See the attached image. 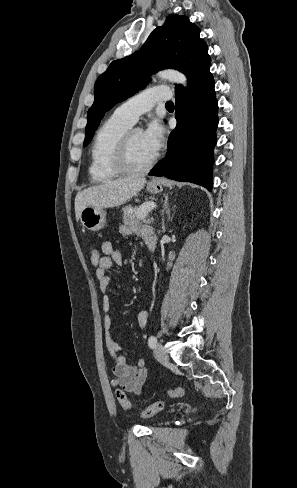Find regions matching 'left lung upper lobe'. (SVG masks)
Returning <instances> with one entry per match:
<instances>
[{
    "instance_id": "1",
    "label": "left lung upper lobe",
    "mask_w": 297,
    "mask_h": 488,
    "mask_svg": "<svg viewBox=\"0 0 297 488\" xmlns=\"http://www.w3.org/2000/svg\"><path fill=\"white\" fill-rule=\"evenodd\" d=\"M199 33V28L188 17L171 15L163 26L150 34L140 50L113 61L95 83V99L88 111L84 146L91 141L105 112L144 88L151 73L177 69L187 76L190 88L198 78L210 73L208 47ZM181 91H185L184 88L176 85L175 94Z\"/></svg>"
}]
</instances>
